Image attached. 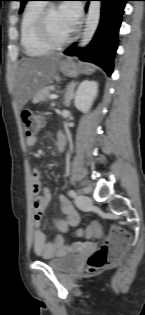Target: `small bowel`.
Segmentation results:
<instances>
[{
  "label": "small bowel",
  "mask_w": 145,
  "mask_h": 315,
  "mask_svg": "<svg viewBox=\"0 0 145 315\" xmlns=\"http://www.w3.org/2000/svg\"><path fill=\"white\" fill-rule=\"evenodd\" d=\"M37 135L34 134L26 138V145L32 147L37 142ZM65 136L59 133L56 139L57 143L63 142L65 144ZM31 189L34 194V216L33 225L34 230L32 232V244L34 252L37 256L42 258H49L52 256H61L68 252V247L65 244L62 235L57 234L53 236L50 242L46 241L44 233L39 229L41 226V219L43 214L48 208L52 192L48 188L41 186V175L38 169L31 171ZM59 206L62 213L65 215V219L55 218L53 219V225L60 232H66L69 227H76L80 223V217L71 203L65 196L59 197Z\"/></svg>",
  "instance_id": "obj_1"
}]
</instances>
